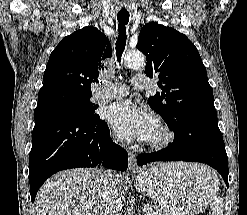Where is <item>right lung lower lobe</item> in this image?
<instances>
[{
	"instance_id": "right-lung-lower-lobe-1",
	"label": "right lung lower lobe",
	"mask_w": 247,
	"mask_h": 215,
	"mask_svg": "<svg viewBox=\"0 0 247 215\" xmlns=\"http://www.w3.org/2000/svg\"><path fill=\"white\" fill-rule=\"evenodd\" d=\"M34 116L29 155L32 201L42 184L60 170L104 166L126 171L127 152L111 141L100 117L83 118L46 102H38Z\"/></svg>"
}]
</instances>
